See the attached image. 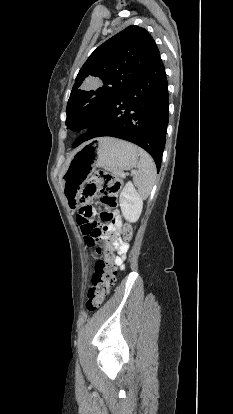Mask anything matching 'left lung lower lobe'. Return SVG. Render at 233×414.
I'll list each match as a JSON object with an SVG mask.
<instances>
[{"instance_id":"1","label":"left lung lower lobe","mask_w":233,"mask_h":414,"mask_svg":"<svg viewBox=\"0 0 233 414\" xmlns=\"http://www.w3.org/2000/svg\"><path fill=\"white\" fill-rule=\"evenodd\" d=\"M168 82L160 54L153 64L89 123L73 147L90 139L111 136L146 150L159 171L168 125Z\"/></svg>"}]
</instances>
